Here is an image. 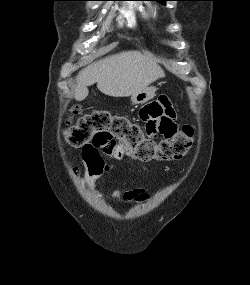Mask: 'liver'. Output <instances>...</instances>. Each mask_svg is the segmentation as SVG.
Returning a JSON list of instances; mask_svg holds the SVG:
<instances>
[{"instance_id":"obj_1","label":"liver","mask_w":250,"mask_h":285,"mask_svg":"<svg viewBox=\"0 0 250 285\" xmlns=\"http://www.w3.org/2000/svg\"><path fill=\"white\" fill-rule=\"evenodd\" d=\"M164 71L149 55L139 51H123L110 55L82 69L77 76L75 100L82 101L88 86L97 83L105 95L128 97L139 93L159 78Z\"/></svg>"}]
</instances>
